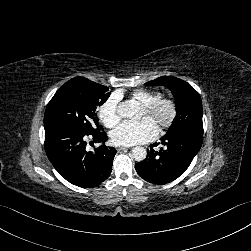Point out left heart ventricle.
Returning <instances> with one entry per match:
<instances>
[{"instance_id":"obj_1","label":"left heart ventricle","mask_w":251,"mask_h":251,"mask_svg":"<svg viewBox=\"0 0 251 251\" xmlns=\"http://www.w3.org/2000/svg\"><path fill=\"white\" fill-rule=\"evenodd\" d=\"M169 116H170V109H169V107L165 106V107H162L155 114H149V113L145 112L144 110H142V113L140 115V119L151 118L158 124L160 121H164V120L168 119Z\"/></svg>"}]
</instances>
